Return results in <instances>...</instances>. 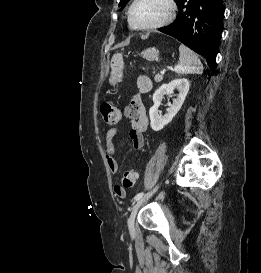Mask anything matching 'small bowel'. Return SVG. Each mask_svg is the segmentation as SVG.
I'll use <instances>...</instances> for the list:
<instances>
[{
    "mask_svg": "<svg viewBox=\"0 0 261 273\" xmlns=\"http://www.w3.org/2000/svg\"><path fill=\"white\" fill-rule=\"evenodd\" d=\"M136 86L139 90L131 99V103L123 110V115L131 124L129 132L132 145L135 150H140L144 146V133L148 128V117L142 95L152 89V82L147 76H139L136 79ZM118 133V127L110 128L105 136V154L107 165L112 174L118 172V162L115 157L114 138ZM114 193L120 198H124L126 192L118 193L114 186Z\"/></svg>",
    "mask_w": 261,
    "mask_h": 273,
    "instance_id": "1",
    "label": "small bowel"
}]
</instances>
